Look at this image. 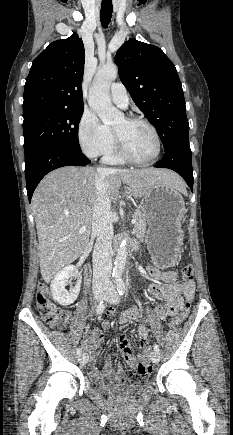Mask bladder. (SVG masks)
Here are the masks:
<instances>
[{
  "label": "bladder",
  "mask_w": 233,
  "mask_h": 435,
  "mask_svg": "<svg viewBox=\"0 0 233 435\" xmlns=\"http://www.w3.org/2000/svg\"><path fill=\"white\" fill-rule=\"evenodd\" d=\"M148 377V375H145V378ZM149 387L150 383L146 381L136 382L134 384L107 381L99 385L97 390L105 395L115 398H133Z\"/></svg>",
  "instance_id": "1"
}]
</instances>
